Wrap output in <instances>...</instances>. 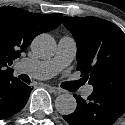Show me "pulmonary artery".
<instances>
[{"mask_svg":"<svg viewBox=\"0 0 125 125\" xmlns=\"http://www.w3.org/2000/svg\"><path fill=\"white\" fill-rule=\"evenodd\" d=\"M77 44L73 37L63 36L59 39L55 55L46 60L22 59L20 64L31 67V76L36 79H47L58 73L61 69L69 65L76 56ZM93 87H85L84 94L89 96Z\"/></svg>","mask_w":125,"mask_h":125,"instance_id":"e3ab8cb5","label":"pulmonary artery"}]
</instances>
